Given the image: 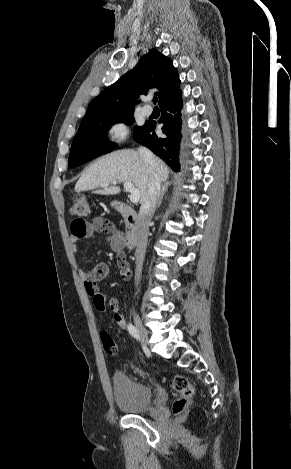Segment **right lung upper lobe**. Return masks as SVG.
<instances>
[{
    "label": "right lung upper lobe",
    "instance_id": "right-lung-upper-lobe-1",
    "mask_svg": "<svg viewBox=\"0 0 291 469\" xmlns=\"http://www.w3.org/2000/svg\"><path fill=\"white\" fill-rule=\"evenodd\" d=\"M180 80L172 62L151 49L136 67L94 98L84 120L111 117L134 111L136 98L151 88H158L159 104L180 89Z\"/></svg>",
    "mask_w": 291,
    "mask_h": 469
}]
</instances>
